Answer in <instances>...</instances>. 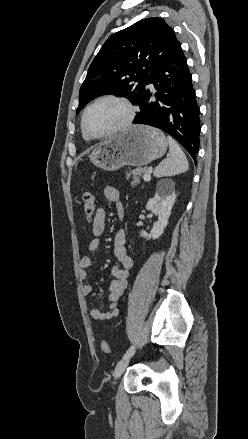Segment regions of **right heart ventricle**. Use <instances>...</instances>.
<instances>
[{"label":"right heart ventricle","instance_id":"1","mask_svg":"<svg viewBox=\"0 0 248 439\" xmlns=\"http://www.w3.org/2000/svg\"><path fill=\"white\" fill-rule=\"evenodd\" d=\"M84 138H85L86 140H89V138H87L85 135H84Z\"/></svg>","mask_w":248,"mask_h":439}]
</instances>
